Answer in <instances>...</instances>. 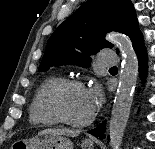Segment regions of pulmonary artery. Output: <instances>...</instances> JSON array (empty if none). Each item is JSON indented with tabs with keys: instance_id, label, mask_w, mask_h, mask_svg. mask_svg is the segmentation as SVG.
I'll list each match as a JSON object with an SVG mask.
<instances>
[{
	"instance_id": "obj_1",
	"label": "pulmonary artery",
	"mask_w": 155,
	"mask_h": 149,
	"mask_svg": "<svg viewBox=\"0 0 155 149\" xmlns=\"http://www.w3.org/2000/svg\"><path fill=\"white\" fill-rule=\"evenodd\" d=\"M99 63L103 66H113L118 63L117 54L111 50H102L99 54Z\"/></svg>"
}]
</instances>
